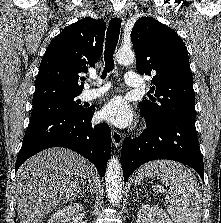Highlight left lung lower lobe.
<instances>
[{"label": "left lung lower lobe", "mask_w": 221, "mask_h": 223, "mask_svg": "<svg viewBox=\"0 0 221 223\" xmlns=\"http://www.w3.org/2000/svg\"><path fill=\"white\" fill-rule=\"evenodd\" d=\"M145 120L147 128L143 133L135 139L126 138L123 142L121 164L124 181L142 164L158 159L184 163L195 169L204 181L195 118L174 115L160 122Z\"/></svg>", "instance_id": "obj_1"}]
</instances>
